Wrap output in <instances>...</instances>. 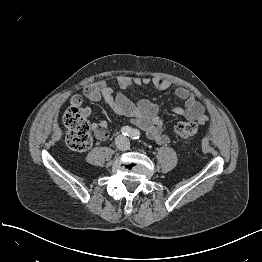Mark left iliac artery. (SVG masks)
<instances>
[{
  "label": "left iliac artery",
  "mask_w": 262,
  "mask_h": 262,
  "mask_svg": "<svg viewBox=\"0 0 262 262\" xmlns=\"http://www.w3.org/2000/svg\"><path fill=\"white\" fill-rule=\"evenodd\" d=\"M140 137V132L137 129L132 130L131 138L134 140H138Z\"/></svg>",
  "instance_id": "left-iliac-artery-1"
}]
</instances>
